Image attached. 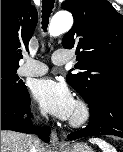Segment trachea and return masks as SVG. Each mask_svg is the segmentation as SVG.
<instances>
[{"instance_id":"trachea-1","label":"trachea","mask_w":123,"mask_h":152,"mask_svg":"<svg viewBox=\"0 0 123 152\" xmlns=\"http://www.w3.org/2000/svg\"><path fill=\"white\" fill-rule=\"evenodd\" d=\"M55 0H42V28L43 30L47 29V25H48V20L50 17V14L52 12L53 9V5H54Z\"/></svg>"}]
</instances>
